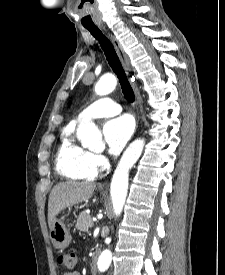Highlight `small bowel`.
Segmentation results:
<instances>
[{"mask_svg":"<svg viewBox=\"0 0 225 275\" xmlns=\"http://www.w3.org/2000/svg\"><path fill=\"white\" fill-rule=\"evenodd\" d=\"M63 275H80V273L77 271H72V272H65L63 273Z\"/></svg>","mask_w":225,"mask_h":275,"instance_id":"c3829d8e","label":"small bowel"}]
</instances>
